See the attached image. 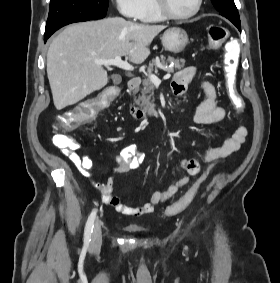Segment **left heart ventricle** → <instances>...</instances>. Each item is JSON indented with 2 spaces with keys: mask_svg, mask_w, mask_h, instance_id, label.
<instances>
[{
  "mask_svg": "<svg viewBox=\"0 0 280 283\" xmlns=\"http://www.w3.org/2000/svg\"><path fill=\"white\" fill-rule=\"evenodd\" d=\"M167 7L175 14H187L191 12L196 5V0H165Z\"/></svg>",
  "mask_w": 280,
  "mask_h": 283,
  "instance_id": "left-heart-ventricle-1",
  "label": "left heart ventricle"
}]
</instances>
